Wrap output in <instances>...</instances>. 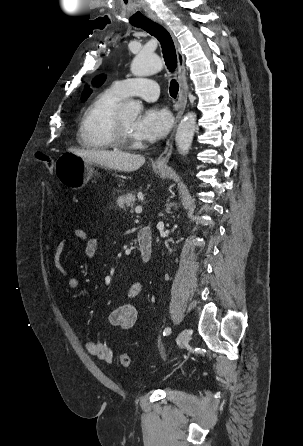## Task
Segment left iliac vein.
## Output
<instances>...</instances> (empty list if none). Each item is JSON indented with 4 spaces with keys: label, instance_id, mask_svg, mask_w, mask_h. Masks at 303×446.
Masks as SVG:
<instances>
[{
    "label": "left iliac vein",
    "instance_id": "obj_1",
    "mask_svg": "<svg viewBox=\"0 0 303 446\" xmlns=\"http://www.w3.org/2000/svg\"><path fill=\"white\" fill-rule=\"evenodd\" d=\"M190 335L191 333L189 329H184L179 333L177 337V345L179 348H183L188 344L190 340Z\"/></svg>",
    "mask_w": 303,
    "mask_h": 446
}]
</instances>
